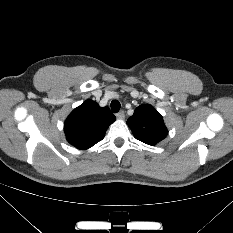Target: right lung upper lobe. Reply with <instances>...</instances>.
<instances>
[{
    "label": "right lung upper lobe",
    "mask_w": 233,
    "mask_h": 233,
    "mask_svg": "<svg viewBox=\"0 0 233 233\" xmlns=\"http://www.w3.org/2000/svg\"><path fill=\"white\" fill-rule=\"evenodd\" d=\"M115 116L108 107L86 100L75 108L64 123L66 139L78 149H88L103 139Z\"/></svg>",
    "instance_id": "right-lung-upper-lobe-1"
}]
</instances>
